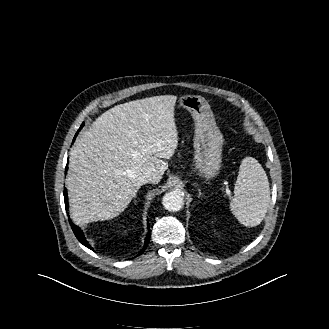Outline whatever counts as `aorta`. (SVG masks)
I'll use <instances>...</instances> for the list:
<instances>
[{
	"instance_id": "1",
	"label": "aorta",
	"mask_w": 329,
	"mask_h": 329,
	"mask_svg": "<svg viewBox=\"0 0 329 329\" xmlns=\"http://www.w3.org/2000/svg\"><path fill=\"white\" fill-rule=\"evenodd\" d=\"M162 204L168 211H179L184 205V197L179 189L167 192L162 198Z\"/></svg>"
}]
</instances>
